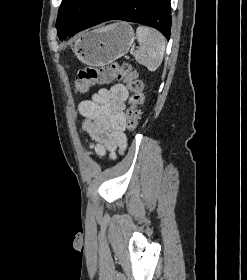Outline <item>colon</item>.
Masks as SVG:
<instances>
[{"label": "colon", "instance_id": "obj_1", "mask_svg": "<svg viewBox=\"0 0 247 280\" xmlns=\"http://www.w3.org/2000/svg\"><path fill=\"white\" fill-rule=\"evenodd\" d=\"M114 80L123 81L131 93L126 111V126L130 131H134L138 125L140 106L143 102V83L128 63L113 62L101 67H86L80 70L75 90L85 93L92 86L109 84Z\"/></svg>", "mask_w": 247, "mask_h": 280}]
</instances>
